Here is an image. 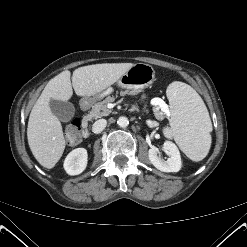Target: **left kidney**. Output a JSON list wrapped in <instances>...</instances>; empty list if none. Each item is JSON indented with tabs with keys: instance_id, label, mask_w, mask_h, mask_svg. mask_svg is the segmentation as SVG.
Returning <instances> with one entry per match:
<instances>
[{
	"instance_id": "1",
	"label": "left kidney",
	"mask_w": 247,
	"mask_h": 247,
	"mask_svg": "<svg viewBox=\"0 0 247 247\" xmlns=\"http://www.w3.org/2000/svg\"><path fill=\"white\" fill-rule=\"evenodd\" d=\"M163 150L169 158L165 161L157 155L155 148L149 149L150 162L160 171L163 172H178L182 167L181 156L177 146L171 141H165Z\"/></svg>"
}]
</instances>
